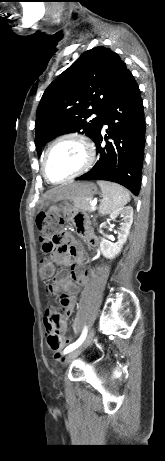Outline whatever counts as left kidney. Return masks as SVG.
<instances>
[{"label": "left kidney", "instance_id": "1", "mask_svg": "<svg viewBox=\"0 0 165 461\" xmlns=\"http://www.w3.org/2000/svg\"><path fill=\"white\" fill-rule=\"evenodd\" d=\"M119 215L122 217L123 222L120 223L121 227L118 232V241L116 243H111L107 240H102L100 243L101 252L103 256L108 259L115 258V256L121 252L123 245L127 241L129 230L133 222V208L131 206L119 208L110 214V218L115 220Z\"/></svg>", "mask_w": 165, "mask_h": 461}]
</instances>
